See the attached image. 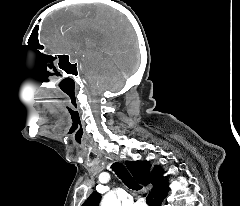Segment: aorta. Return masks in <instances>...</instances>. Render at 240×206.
Instances as JSON below:
<instances>
[{
  "mask_svg": "<svg viewBox=\"0 0 240 206\" xmlns=\"http://www.w3.org/2000/svg\"><path fill=\"white\" fill-rule=\"evenodd\" d=\"M101 206H120V202L113 193H108L103 197Z\"/></svg>",
  "mask_w": 240,
  "mask_h": 206,
  "instance_id": "obj_1",
  "label": "aorta"
}]
</instances>
